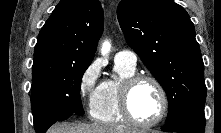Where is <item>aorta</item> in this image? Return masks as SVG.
I'll return each mask as SVG.
<instances>
[{
  "mask_svg": "<svg viewBox=\"0 0 221 133\" xmlns=\"http://www.w3.org/2000/svg\"><path fill=\"white\" fill-rule=\"evenodd\" d=\"M110 48H111V44L109 41H105L103 44H102V48H101V53L102 55H107L110 51Z\"/></svg>",
  "mask_w": 221,
  "mask_h": 133,
  "instance_id": "762f6f07",
  "label": "aorta"
}]
</instances>
